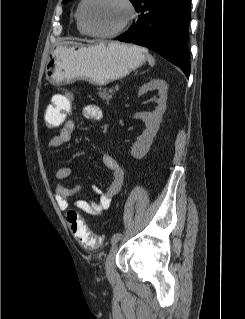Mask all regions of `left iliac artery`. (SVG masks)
I'll list each match as a JSON object with an SVG mask.
<instances>
[{
	"mask_svg": "<svg viewBox=\"0 0 245 319\" xmlns=\"http://www.w3.org/2000/svg\"><path fill=\"white\" fill-rule=\"evenodd\" d=\"M122 238V234L121 233H116L112 236L111 242L112 243H116L118 242L120 239Z\"/></svg>",
	"mask_w": 245,
	"mask_h": 319,
	"instance_id": "1",
	"label": "left iliac artery"
}]
</instances>
